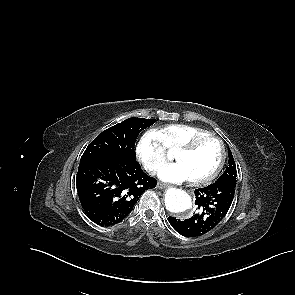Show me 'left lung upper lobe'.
I'll return each mask as SVG.
<instances>
[{
  "instance_id": "obj_1",
  "label": "left lung upper lobe",
  "mask_w": 295,
  "mask_h": 295,
  "mask_svg": "<svg viewBox=\"0 0 295 295\" xmlns=\"http://www.w3.org/2000/svg\"><path fill=\"white\" fill-rule=\"evenodd\" d=\"M228 155H229V165L227 166L224 173L217 179L216 182L227 181V180H232L236 182V177H237L236 165L230 150Z\"/></svg>"
}]
</instances>
